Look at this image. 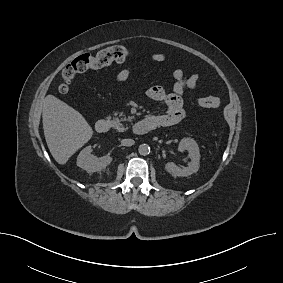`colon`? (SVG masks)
<instances>
[{"mask_svg":"<svg viewBox=\"0 0 283 283\" xmlns=\"http://www.w3.org/2000/svg\"><path fill=\"white\" fill-rule=\"evenodd\" d=\"M129 54L127 47L123 45H114L107 47L98 53L92 55L90 53L82 54L72 60L62 70V82L59 85V91L65 93L69 89L72 79L89 69H97L107 66L113 62L124 61ZM197 104L205 108H219L221 101L217 97H200Z\"/></svg>","mask_w":283,"mask_h":283,"instance_id":"colon-1","label":"colon"}]
</instances>
